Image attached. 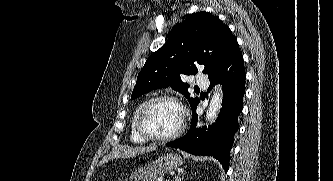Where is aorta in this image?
Listing matches in <instances>:
<instances>
[{
	"label": "aorta",
	"instance_id": "obj_1",
	"mask_svg": "<svg viewBox=\"0 0 333 181\" xmlns=\"http://www.w3.org/2000/svg\"><path fill=\"white\" fill-rule=\"evenodd\" d=\"M222 104V91L220 87H215V91L210 100L209 107L206 111V120H213L219 113Z\"/></svg>",
	"mask_w": 333,
	"mask_h": 181
}]
</instances>
